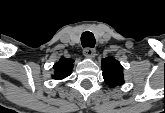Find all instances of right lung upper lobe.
<instances>
[{
  "instance_id": "obj_1",
  "label": "right lung upper lobe",
  "mask_w": 165,
  "mask_h": 113,
  "mask_svg": "<svg viewBox=\"0 0 165 113\" xmlns=\"http://www.w3.org/2000/svg\"><path fill=\"white\" fill-rule=\"evenodd\" d=\"M73 62L74 61L72 59L61 58L59 62L55 63L53 66L55 70L53 79L61 80L69 76L73 69Z\"/></svg>"
}]
</instances>
